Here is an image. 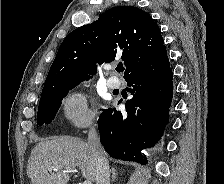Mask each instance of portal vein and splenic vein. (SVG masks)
I'll return each mask as SVG.
<instances>
[{
    "label": "portal vein and splenic vein",
    "mask_w": 224,
    "mask_h": 184,
    "mask_svg": "<svg viewBox=\"0 0 224 184\" xmlns=\"http://www.w3.org/2000/svg\"><path fill=\"white\" fill-rule=\"evenodd\" d=\"M57 170L56 168H49V171H55ZM65 172H69V173H75L76 170L72 169V168H66L64 170ZM82 184H92L91 181L85 180Z\"/></svg>",
    "instance_id": "obj_1"
}]
</instances>
